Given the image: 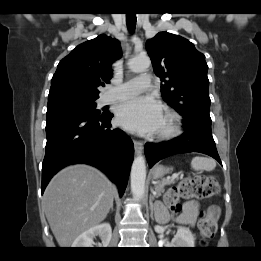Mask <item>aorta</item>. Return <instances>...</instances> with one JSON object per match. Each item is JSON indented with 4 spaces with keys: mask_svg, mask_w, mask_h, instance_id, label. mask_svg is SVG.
<instances>
[{
    "mask_svg": "<svg viewBox=\"0 0 261 261\" xmlns=\"http://www.w3.org/2000/svg\"><path fill=\"white\" fill-rule=\"evenodd\" d=\"M150 59L147 56L132 58L128 66L133 72L145 71L150 66ZM146 162L142 155L135 157L131 168V192L135 198L142 199L145 192Z\"/></svg>",
    "mask_w": 261,
    "mask_h": 261,
    "instance_id": "1",
    "label": "aorta"
}]
</instances>
